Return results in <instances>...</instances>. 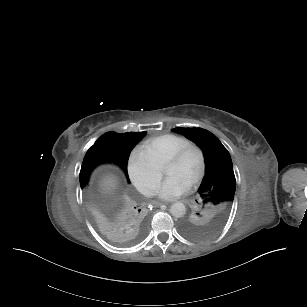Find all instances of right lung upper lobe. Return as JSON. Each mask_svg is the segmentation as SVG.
I'll return each mask as SVG.
<instances>
[{"mask_svg":"<svg viewBox=\"0 0 307 307\" xmlns=\"http://www.w3.org/2000/svg\"><path fill=\"white\" fill-rule=\"evenodd\" d=\"M146 132L113 131L103 134L95 143L103 146L111 155L109 162L119 165L128 178L127 161L132 148ZM129 181V178H128ZM82 197L99 226L106 231L141 229L147 220L145 206L131 195L101 198L83 186Z\"/></svg>","mask_w":307,"mask_h":307,"instance_id":"cb5924a9","label":"right lung upper lobe"}]
</instances>
